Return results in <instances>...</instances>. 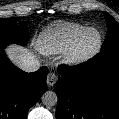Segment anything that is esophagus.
<instances>
[{"label":"esophagus","mask_w":119,"mask_h":119,"mask_svg":"<svg viewBox=\"0 0 119 119\" xmlns=\"http://www.w3.org/2000/svg\"><path fill=\"white\" fill-rule=\"evenodd\" d=\"M56 81H57L56 74L53 73V72H49V74L47 75V80H46L47 85L50 86V87H52V86H54V84L56 83Z\"/></svg>","instance_id":"34e87169"}]
</instances>
